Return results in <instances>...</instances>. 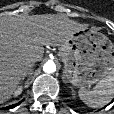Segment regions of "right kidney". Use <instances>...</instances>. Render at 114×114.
Returning <instances> with one entry per match:
<instances>
[{
    "mask_svg": "<svg viewBox=\"0 0 114 114\" xmlns=\"http://www.w3.org/2000/svg\"><path fill=\"white\" fill-rule=\"evenodd\" d=\"M23 87L22 86H17V88L15 89V91L13 92L14 96H18L22 93Z\"/></svg>",
    "mask_w": 114,
    "mask_h": 114,
    "instance_id": "right-kidney-1",
    "label": "right kidney"
}]
</instances>
